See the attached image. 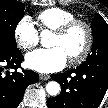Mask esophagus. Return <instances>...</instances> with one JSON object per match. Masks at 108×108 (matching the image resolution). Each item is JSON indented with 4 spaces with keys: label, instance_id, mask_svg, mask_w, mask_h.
I'll list each match as a JSON object with an SVG mask.
<instances>
[{
    "label": "esophagus",
    "instance_id": "34e87169",
    "mask_svg": "<svg viewBox=\"0 0 108 108\" xmlns=\"http://www.w3.org/2000/svg\"><path fill=\"white\" fill-rule=\"evenodd\" d=\"M39 78H40V80L45 81V80L50 79V76L47 74H40Z\"/></svg>",
    "mask_w": 108,
    "mask_h": 108
}]
</instances>
